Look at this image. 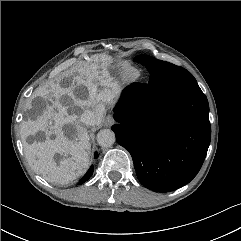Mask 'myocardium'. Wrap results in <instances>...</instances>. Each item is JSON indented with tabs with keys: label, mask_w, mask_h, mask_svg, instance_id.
<instances>
[{
	"label": "myocardium",
	"mask_w": 241,
	"mask_h": 241,
	"mask_svg": "<svg viewBox=\"0 0 241 241\" xmlns=\"http://www.w3.org/2000/svg\"><path fill=\"white\" fill-rule=\"evenodd\" d=\"M126 75L129 79H135L138 77L139 73L136 69L130 68V69H128Z\"/></svg>",
	"instance_id": "1"
}]
</instances>
